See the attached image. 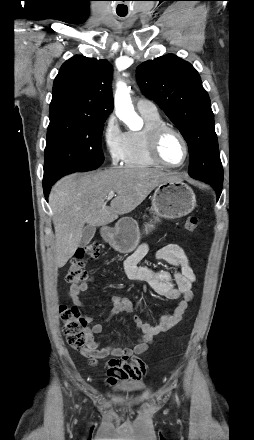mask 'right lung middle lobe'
<instances>
[{
	"mask_svg": "<svg viewBox=\"0 0 254 440\" xmlns=\"http://www.w3.org/2000/svg\"><path fill=\"white\" fill-rule=\"evenodd\" d=\"M43 184L60 177L97 169L104 161L101 136L106 118L70 111L49 115Z\"/></svg>",
	"mask_w": 254,
	"mask_h": 440,
	"instance_id": "right-lung-middle-lobe-1",
	"label": "right lung middle lobe"
}]
</instances>
